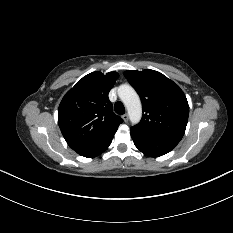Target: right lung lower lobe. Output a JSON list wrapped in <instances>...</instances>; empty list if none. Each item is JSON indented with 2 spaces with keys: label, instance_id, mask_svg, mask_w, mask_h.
<instances>
[{
  "label": "right lung lower lobe",
  "instance_id": "right-lung-lower-lobe-1",
  "mask_svg": "<svg viewBox=\"0 0 233 233\" xmlns=\"http://www.w3.org/2000/svg\"><path fill=\"white\" fill-rule=\"evenodd\" d=\"M113 136L109 137L108 139L104 140L103 142H101L95 146L84 148V149L78 150L76 152L84 157L98 156L109 147V145L112 142Z\"/></svg>",
  "mask_w": 233,
  "mask_h": 233
}]
</instances>
